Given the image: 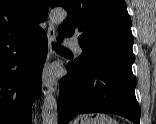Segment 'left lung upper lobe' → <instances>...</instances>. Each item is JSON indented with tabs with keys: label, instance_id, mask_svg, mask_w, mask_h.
Returning <instances> with one entry per match:
<instances>
[{
	"label": "left lung upper lobe",
	"instance_id": "obj_1",
	"mask_svg": "<svg viewBox=\"0 0 156 124\" xmlns=\"http://www.w3.org/2000/svg\"><path fill=\"white\" fill-rule=\"evenodd\" d=\"M49 4L67 11L58 28L60 36H78L82 54L69 63L72 67L88 70L114 63L132 72V23L124 0H49Z\"/></svg>",
	"mask_w": 156,
	"mask_h": 124
}]
</instances>
